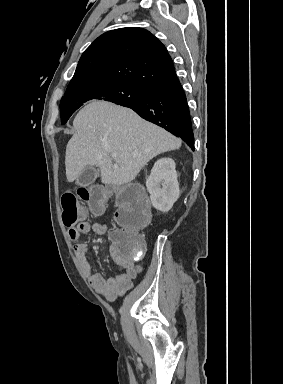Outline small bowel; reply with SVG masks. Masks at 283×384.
<instances>
[{
  "label": "small bowel",
  "mask_w": 283,
  "mask_h": 384,
  "mask_svg": "<svg viewBox=\"0 0 283 384\" xmlns=\"http://www.w3.org/2000/svg\"><path fill=\"white\" fill-rule=\"evenodd\" d=\"M95 232L98 235H105L108 228L104 224L89 223L82 221L68 230L69 238L76 241L74 245V254L76 260L85 273L91 287L99 294L104 296L109 301H114L119 296L124 295L133 286V281L136 276L142 271V268L135 265L133 261L126 260L119 255L116 248L110 246V255L112 259L119 265L121 272L118 275L105 278L100 273H94L87 260L88 246L84 242H79V238L83 234Z\"/></svg>",
  "instance_id": "1"
}]
</instances>
